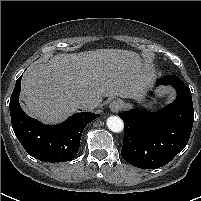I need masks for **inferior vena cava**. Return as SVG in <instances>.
<instances>
[{"label":"inferior vena cava","mask_w":201,"mask_h":201,"mask_svg":"<svg viewBox=\"0 0 201 201\" xmlns=\"http://www.w3.org/2000/svg\"><path fill=\"white\" fill-rule=\"evenodd\" d=\"M99 105V102L94 99H79L76 101V106L78 109L83 110H93Z\"/></svg>","instance_id":"inferior-vena-cava-1"}]
</instances>
